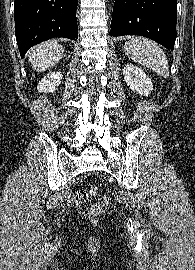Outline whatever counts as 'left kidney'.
Instances as JSON below:
<instances>
[{
	"instance_id": "obj_1",
	"label": "left kidney",
	"mask_w": 195,
	"mask_h": 270,
	"mask_svg": "<svg viewBox=\"0 0 195 270\" xmlns=\"http://www.w3.org/2000/svg\"><path fill=\"white\" fill-rule=\"evenodd\" d=\"M124 80L133 91L146 96L153 89V83L146 73L133 64H127L123 69Z\"/></svg>"
}]
</instances>
